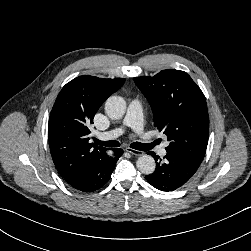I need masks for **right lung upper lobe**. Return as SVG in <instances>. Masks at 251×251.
Instances as JSON below:
<instances>
[{
    "mask_svg": "<svg viewBox=\"0 0 251 251\" xmlns=\"http://www.w3.org/2000/svg\"><path fill=\"white\" fill-rule=\"evenodd\" d=\"M124 82L123 78L85 75L71 80L58 94L49 117L48 137L55 167L67 183L76 179L88 162L105 155L106 148L89 143L88 126L103 102Z\"/></svg>",
    "mask_w": 251,
    "mask_h": 251,
    "instance_id": "obj_1",
    "label": "right lung upper lobe"
}]
</instances>
